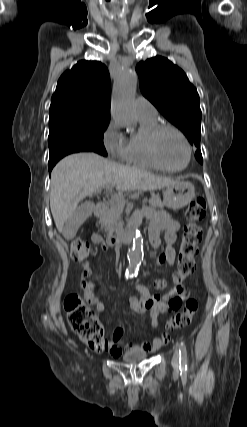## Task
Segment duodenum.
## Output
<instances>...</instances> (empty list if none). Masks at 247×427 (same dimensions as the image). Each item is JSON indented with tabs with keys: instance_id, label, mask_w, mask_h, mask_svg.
I'll list each match as a JSON object with an SVG mask.
<instances>
[{
	"instance_id": "obj_1",
	"label": "duodenum",
	"mask_w": 247,
	"mask_h": 427,
	"mask_svg": "<svg viewBox=\"0 0 247 427\" xmlns=\"http://www.w3.org/2000/svg\"><path fill=\"white\" fill-rule=\"evenodd\" d=\"M106 209L107 204L105 202H98L94 210L95 216L100 217L104 214ZM133 236L134 227L132 224H128L122 232L109 238L108 245L110 247H119L122 244H128L132 241Z\"/></svg>"
}]
</instances>
